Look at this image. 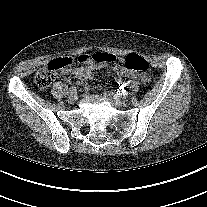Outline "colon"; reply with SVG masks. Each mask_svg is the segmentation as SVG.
I'll list each match as a JSON object with an SVG mask.
<instances>
[{"mask_svg": "<svg viewBox=\"0 0 207 207\" xmlns=\"http://www.w3.org/2000/svg\"><path fill=\"white\" fill-rule=\"evenodd\" d=\"M89 57L96 62L102 63H111L116 61L115 55L105 52L89 54ZM73 63L74 61L71 57H59L50 61L44 68L36 73L34 78L36 86L40 89L49 87L55 80V72L60 69L70 68ZM124 66L130 71L139 73H146L149 69L148 61L144 57L135 53L127 55Z\"/></svg>", "mask_w": 207, "mask_h": 207, "instance_id": "colon-1", "label": "colon"}]
</instances>
